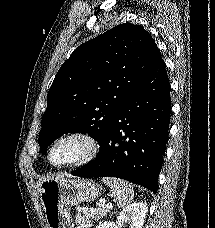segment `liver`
Listing matches in <instances>:
<instances>
[{
    "instance_id": "obj_1",
    "label": "liver",
    "mask_w": 215,
    "mask_h": 228,
    "mask_svg": "<svg viewBox=\"0 0 215 228\" xmlns=\"http://www.w3.org/2000/svg\"><path fill=\"white\" fill-rule=\"evenodd\" d=\"M61 178H63V176H61ZM52 180H58V178H52ZM43 182H46V178H42V180H39V182H37L38 192H41V186H42Z\"/></svg>"
}]
</instances>
